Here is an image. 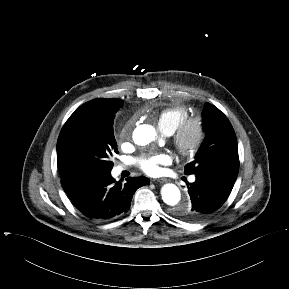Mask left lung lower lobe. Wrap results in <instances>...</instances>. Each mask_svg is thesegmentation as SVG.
Wrapping results in <instances>:
<instances>
[{
  "instance_id": "0a47b994",
  "label": "left lung lower lobe",
  "mask_w": 289,
  "mask_h": 289,
  "mask_svg": "<svg viewBox=\"0 0 289 289\" xmlns=\"http://www.w3.org/2000/svg\"><path fill=\"white\" fill-rule=\"evenodd\" d=\"M234 182L217 174L196 175L195 182L188 184L191 205L182 213V218L199 221L214 213L228 198Z\"/></svg>"
}]
</instances>
